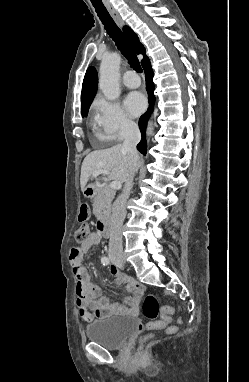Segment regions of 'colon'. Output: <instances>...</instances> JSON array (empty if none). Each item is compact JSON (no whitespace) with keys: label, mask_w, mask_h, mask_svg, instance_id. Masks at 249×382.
<instances>
[{"label":"colon","mask_w":249,"mask_h":382,"mask_svg":"<svg viewBox=\"0 0 249 382\" xmlns=\"http://www.w3.org/2000/svg\"><path fill=\"white\" fill-rule=\"evenodd\" d=\"M88 216V207L86 204L81 206L80 209V220L82 224L76 230L75 239L79 244L84 243L90 234L89 226L84 222ZM142 313L145 318L150 322L145 324L147 329H158L162 327H168L170 332L174 331L176 327L169 326L171 323V315L173 314V309L171 307L160 308L158 298L153 294H148L144 297L142 301ZM160 317L159 320L157 318ZM181 320H179V323ZM147 336L146 338H148Z\"/></svg>","instance_id":"5ec220e1"}]
</instances>
